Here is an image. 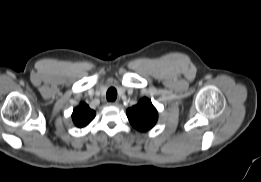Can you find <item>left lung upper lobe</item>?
Segmentation results:
<instances>
[{"mask_svg": "<svg viewBox=\"0 0 261 182\" xmlns=\"http://www.w3.org/2000/svg\"><path fill=\"white\" fill-rule=\"evenodd\" d=\"M127 117L134 128L147 131L157 122L158 113L151 101L143 98L137 105L127 109Z\"/></svg>", "mask_w": 261, "mask_h": 182, "instance_id": "obj_1", "label": "left lung upper lobe"}]
</instances>
